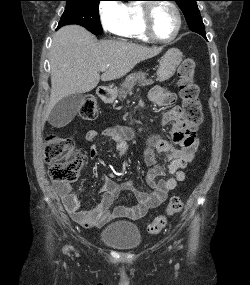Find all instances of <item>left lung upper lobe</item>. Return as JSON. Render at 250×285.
I'll use <instances>...</instances> for the list:
<instances>
[{"label": "left lung upper lobe", "instance_id": "5c2ea615", "mask_svg": "<svg viewBox=\"0 0 250 285\" xmlns=\"http://www.w3.org/2000/svg\"><path fill=\"white\" fill-rule=\"evenodd\" d=\"M182 10L189 28L200 35H205V27L202 22L196 1L198 0H174Z\"/></svg>", "mask_w": 250, "mask_h": 285}]
</instances>
